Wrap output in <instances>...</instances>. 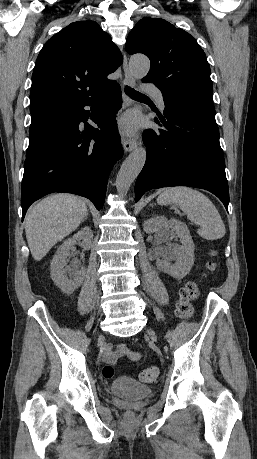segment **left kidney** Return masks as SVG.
I'll return each instance as SVG.
<instances>
[{
	"label": "left kidney",
	"mask_w": 257,
	"mask_h": 459,
	"mask_svg": "<svg viewBox=\"0 0 257 459\" xmlns=\"http://www.w3.org/2000/svg\"><path fill=\"white\" fill-rule=\"evenodd\" d=\"M146 233H155L158 242H166L170 236L176 235L181 242L180 246H159L156 249L158 258L157 266L163 272L173 278L182 279L191 270L194 264L195 245L185 223L175 219H167L165 216H156L148 219L143 224ZM171 260H176L171 264Z\"/></svg>",
	"instance_id": "5707ae66"
}]
</instances>
